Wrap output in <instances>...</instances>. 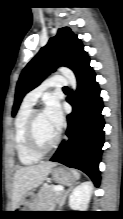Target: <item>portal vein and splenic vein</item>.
<instances>
[{"mask_svg": "<svg viewBox=\"0 0 123 219\" xmlns=\"http://www.w3.org/2000/svg\"><path fill=\"white\" fill-rule=\"evenodd\" d=\"M63 190H64V187H63V186L58 185V186H55V187H54V191H55V192L63 191Z\"/></svg>", "mask_w": 123, "mask_h": 219, "instance_id": "18ae733b", "label": "portal vein and splenic vein"}]
</instances>
